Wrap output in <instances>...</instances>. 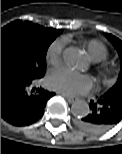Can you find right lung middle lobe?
<instances>
[{
	"label": "right lung middle lobe",
	"instance_id": "dd1d6c3e",
	"mask_svg": "<svg viewBox=\"0 0 122 154\" xmlns=\"http://www.w3.org/2000/svg\"><path fill=\"white\" fill-rule=\"evenodd\" d=\"M61 32L29 21L11 22L1 29V64L10 66L27 79L42 78L48 47Z\"/></svg>",
	"mask_w": 122,
	"mask_h": 154
}]
</instances>
